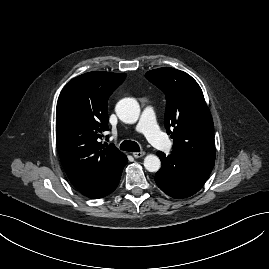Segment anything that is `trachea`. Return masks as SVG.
Returning <instances> with one entry per match:
<instances>
[{
    "instance_id": "3493384b",
    "label": "trachea",
    "mask_w": 269,
    "mask_h": 269,
    "mask_svg": "<svg viewBox=\"0 0 269 269\" xmlns=\"http://www.w3.org/2000/svg\"><path fill=\"white\" fill-rule=\"evenodd\" d=\"M120 149L123 151H129V152H139L140 151L139 145L136 142L130 141V140L123 141L120 144Z\"/></svg>"
}]
</instances>
